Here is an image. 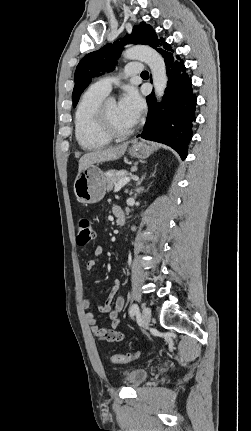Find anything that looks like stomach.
Listing matches in <instances>:
<instances>
[{
    "label": "stomach",
    "mask_w": 251,
    "mask_h": 431,
    "mask_svg": "<svg viewBox=\"0 0 251 431\" xmlns=\"http://www.w3.org/2000/svg\"><path fill=\"white\" fill-rule=\"evenodd\" d=\"M155 150L156 147L144 142H133L129 154L132 157L144 159ZM74 193L77 200L83 204L99 202L106 193V176L103 171L95 164L88 165L77 175L74 181Z\"/></svg>",
    "instance_id": "obj_1"
}]
</instances>
